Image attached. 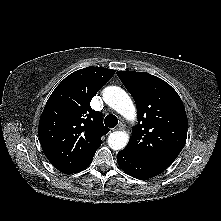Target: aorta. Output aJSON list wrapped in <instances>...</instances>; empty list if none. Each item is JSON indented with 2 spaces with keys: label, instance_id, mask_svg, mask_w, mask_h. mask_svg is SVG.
I'll list each match as a JSON object with an SVG mask.
<instances>
[{
  "label": "aorta",
  "instance_id": "obj_1",
  "mask_svg": "<svg viewBox=\"0 0 221 221\" xmlns=\"http://www.w3.org/2000/svg\"><path fill=\"white\" fill-rule=\"evenodd\" d=\"M104 102L129 121L137 117L136 107L129 95L120 87L109 86L103 91ZM129 142V134L115 131L108 136V145L113 150H122Z\"/></svg>",
  "mask_w": 221,
  "mask_h": 221
}]
</instances>
